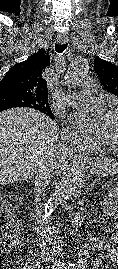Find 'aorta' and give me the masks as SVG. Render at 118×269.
I'll return each mask as SVG.
<instances>
[{"label":"aorta","mask_w":118,"mask_h":269,"mask_svg":"<svg viewBox=\"0 0 118 269\" xmlns=\"http://www.w3.org/2000/svg\"><path fill=\"white\" fill-rule=\"evenodd\" d=\"M89 70L88 61L85 58H77L69 67L65 80L68 86H77L87 75ZM83 172L79 169L67 174L61 186L55 191L53 196L47 201L44 208V220L48 222L55 207L64 199H67L83 186Z\"/></svg>","instance_id":"762f6f07"}]
</instances>
